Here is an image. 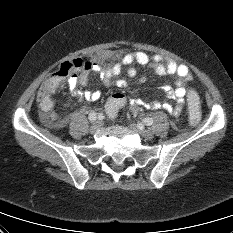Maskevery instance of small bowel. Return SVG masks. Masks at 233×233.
<instances>
[{"label":"small bowel","mask_w":233,"mask_h":233,"mask_svg":"<svg viewBox=\"0 0 233 233\" xmlns=\"http://www.w3.org/2000/svg\"><path fill=\"white\" fill-rule=\"evenodd\" d=\"M106 56L117 59V61L106 68H102L99 63H93L91 64V68L89 70L91 72H99L101 80L106 87H110L114 83L118 88H125L127 85V81L125 79H117L115 81L114 79L125 67L127 68L128 76L135 77L137 74L135 65H151L159 75H176V87L165 88L167 98L175 100L176 104L174 106L167 102L159 103L154 101L148 103L139 99H133L131 101V107L134 110H139L142 107L154 110L163 109L172 115H178L181 113L187 94L184 84L186 82L193 81L191 71L185 64L179 63L172 59H165L159 54L150 56L144 52L127 53L121 57L115 53H107ZM145 80V77L140 78V82H145ZM68 84L72 93L78 98L88 101H95L102 97V91L100 90H80V88L86 87L87 73H83L81 76H71L68 80ZM47 119L54 127H60L65 122L64 120L58 119L56 114H50Z\"/></svg>","instance_id":"small-bowel-1"}]
</instances>
